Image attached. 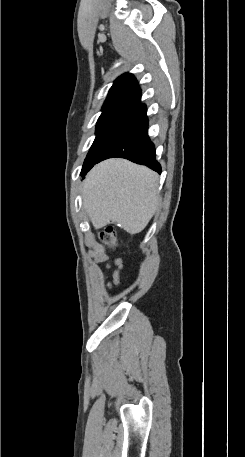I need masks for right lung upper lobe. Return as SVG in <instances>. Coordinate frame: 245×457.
Segmentation results:
<instances>
[{"instance_id":"right-lung-upper-lobe-1","label":"right lung upper lobe","mask_w":245,"mask_h":457,"mask_svg":"<svg viewBox=\"0 0 245 457\" xmlns=\"http://www.w3.org/2000/svg\"><path fill=\"white\" fill-rule=\"evenodd\" d=\"M141 90L132 74L116 79L102 107L103 112H131L140 104Z\"/></svg>"}]
</instances>
